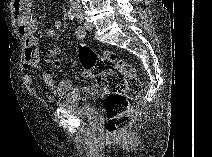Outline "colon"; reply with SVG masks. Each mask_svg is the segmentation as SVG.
Here are the masks:
<instances>
[{
	"label": "colon",
	"mask_w": 212,
	"mask_h": 157,
	"mask_svg": "<svg viewBox=\"0 0 212 157\" xmlns=\"http://www.w3.org/2000/svg\"><path fill=\"white\" fill-rule=\"evenodd\" d=\"M75 52L84 75L92 78L99 87L108 92L105 128L110 137H119L131 121L130 101L136 99L141 91V83L135 69L112 52L98 54L84 44L77 45ZM48 55L52 66L58 67V51L53 49Z\"/></svg>",
	"instance_id": "1"
}]
</instances>
